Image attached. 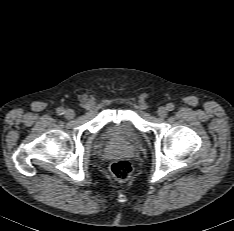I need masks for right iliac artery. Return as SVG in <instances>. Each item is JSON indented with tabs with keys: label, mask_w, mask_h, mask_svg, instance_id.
<instances>
[{
	"label": "right iliac artery",
	"mask_w": 234,
	"mask_h": 231,
	"mask_svg": "<svg viewBox=\"0 0 234 231\" xmlns=\"http://www.w3.org/2000/svg\"><path fill=\"white\" fill-rule=\"evenodd\" d=\"M57 113H58L59 115L64 114V109H63L62 107L57 108Z\"/></svg>",
	"instance_id": "right-iliac-artery-1"
}]
</instances>
